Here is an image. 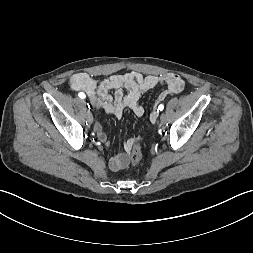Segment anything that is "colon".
<instances>
[{
    "mask_svg": "<svg viewBox=\"0 0 253 253\" xmlns=\"http://www.w3.org/2000/svg\"><path fill=\"white\" fill-rule=\"evenodd\" d=\"M142 159V149L139 142H135V144L131 148L130 152V161L132 165H137Z\"/></svg>",
    "mask_w": 253,
    "mask_h": 253,
    "instance_id": "1",
    "label": "colon"
}]
</instances>
